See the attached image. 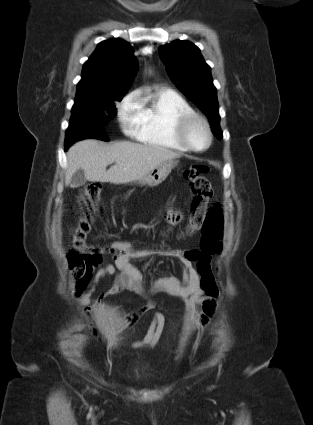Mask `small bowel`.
I'll use <instances>...</instances> for the list:
<instances>
[{"label": "small bowel", "mask_w": 313, "mask_h": 425, "mask_svg": "<svg viewBox=\"0 0 313 425\" xmlns=\"http://www.w3.org/2000/svg\"><path fill=\"white\" fill-rule=\"evenodd\" d=\"M181 219V215L177 212L169 211L167 213V221L170 225L177 224ZM111 249L118 252L114 256L113 263H108L94 271V268L102 262V257H99L94 267L82 278L80 290L77 293V301L84 307V315L93 334L96 335V329L91 324L94 306L104 301L107 297L118 295L123 291H130L148 299L144 306L140 307L133 316L125 320L126 325H131L137 318L155 308L154 302L149 300V297L157 292H164L180 299L185 304L191 318H194L195 305L201 304L203 307L200 317L201 325L205 326L210 321L215 310L216 300L204 296L200 285V275L194 264L185 257L187 250L174 249L167 252L169 256L176 257L180 261L181 279L174 275L160 277L153 282L151 287L147 288L143 273L132 263V259L147 257L150 252L135 250L130 243L124 241L112 243ZM110 276H114L112 286L101 292L95 300H92L91 296L99 281ZM164 326V315L161 312H156L146 334L142 339L133 342L132 347L156 346Z\"/></svg>", "instance_id": "small-bowel-1"}]
</instances>
